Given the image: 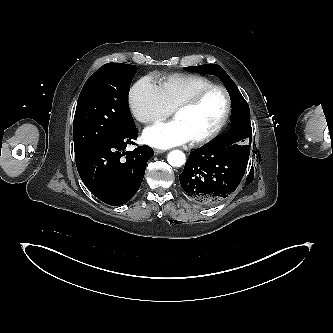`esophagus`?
<instances>
[{
	"label": "esophagus",
	"instance_id": "esophagus-1",
	"mask_svg": "<svg viewBox=\"0 0 333 333\" xmlns=\"http://www.w3.org/2000/svg\"><path fill=\"white\" fill-rule=\"evenodd\" d=\"M161 153H164V151H163V150H160V149H155V150H154V154H155V155H158V154H161Z\"/></svg>",
	"mask_w": 333,
	"mask_h": 333
}]
</instances>
